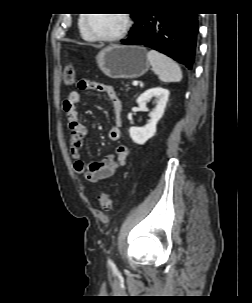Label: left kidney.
I'll return each mask as SVG.
<instances>
[{
	"instance_id": "left-kidney-1",
	"label": "left kidney",
	"mask_w": 252,
	"mask_h": 303,
	"mask_svg": "<svg viewBox=\"0 0 252 303\" xmlns=\"http://www.w3.org/2000/svg\"><path fill=\"white\" fill-rule=\"evenodd\" d=\"M155 98L156 106L150 113V121L144 127H130L129 134L133 142L139 145L145 144L156 133L158 121L162 118L169 98V91L162 87H154L146 90L136 100L140 108L145 109L147 102Z\"/></svg>"
}]
</instances>
